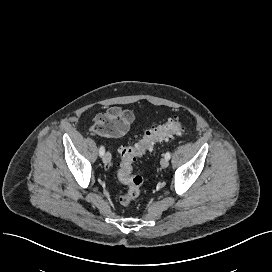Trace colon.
Masks as SVG:
<instances>
[{
  "instance_id": "1",
  "label": "colon",
  "mask_w": 272,
  "mask_h": 272,
  "mask_svg": "<svg viewBox=\"0 0 272 272\" xmlns=\"http://www.w3.org/2000/svg\"><path fill=\"white\" fill-rule=\"evenodd\" d=\"M129 119L128 111L116 107L110 108L95 118L93 130L101 136H121L128 129ZM184 130V122L179 117H174L162 125L147 129L142 137L132 139L121 149L118 178L127 186V191L118 198L122 206H129L141 192L143 178L133 174L134 163L137 159L146 152L154 150L157 143L168 142L173 135Z\"/></svg>"
}]
</instances>
